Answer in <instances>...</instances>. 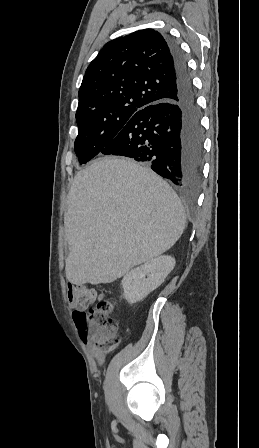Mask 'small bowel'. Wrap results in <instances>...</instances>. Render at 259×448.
I'll use <instances>...</instances> for the list:
<instances>
[{
  "mask_svg": "<svg viewBox=\"0 0 259 448\" xmlns=\"http://www.w3.org/2000/svg\"><path fill=\"white\" fill-rule=\"evenodd\" d=\"M68 299H69L71 305L75 306V304H74V299H73V295H72L71 287L69 288ZM90 352H91V354L95 357V359H96L98 362L101 363V362L104 361V354H103V352H102L101 350H99L97 347H95V346H93V345L90 346Z\"/></svg>",
  "mask_w": 259,
  "mask_h": 448,
  "instance_id": "c3829d8e",
  "label": "small bowel"
}]
</instances>
